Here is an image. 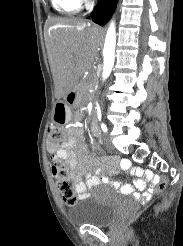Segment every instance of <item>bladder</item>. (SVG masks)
<instances>
[{"label":"bladder","instance_id":"1","mask_svg":"<svg viewBox=\"0 0 183 246\" xmlns=\"http://www.w3.org/2000/svg\"><path fill=\"white\" fill-rule=\"evenodd\" d=\"M117 211V199L110 188L99 185L68 212L76 225H109Z\"/></svg>","mask_w":183,"mask_h":246}]
</instances>
